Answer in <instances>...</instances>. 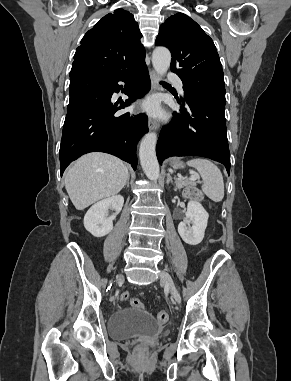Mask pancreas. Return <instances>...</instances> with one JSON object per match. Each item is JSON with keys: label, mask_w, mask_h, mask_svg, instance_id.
I'll return each mask as SVG.
<instances>
[{"label": "pancreas", "mask_w": 291, "mask_h": 381, "mask_svg": "<svg viewBox=\"0 0 291 381\" xmlns=\"http://www.w3.org/2000/svg\"><path fill=\"white\" fill-rule=\"evenodd\" d=\"M176 182L179 184L180 187H183V186H188V187H191L192 189H195V182L191 181V180H187L185 178H178L176 179Z\"/></svg>", "instance_id": "1"}]
</instances>
